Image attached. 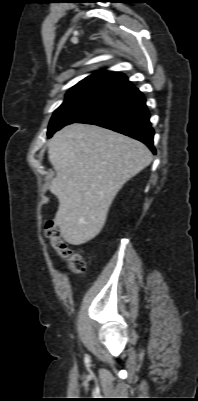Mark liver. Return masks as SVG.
Masks as SVG:
<instances>
[{"instance_id": "6515ba94", "label": "liver", "mask_w": 198, "mask_h": 401, "mask_svg": "<svg viewBox=\"0 0 198 401\" xmlns=\"http://www.w3.org/2000/svg\"><path fill=\"white\" fill-rule=\"evenodd\" d=\"M48 158L56 171L50 191L59 201L54 223L67 243L81 245L100 233L116 194L152 154L120 133L74 123L52 137Z\"/></svg>"}]
</instances>
